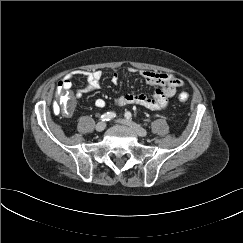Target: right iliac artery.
<instances>
[{"label":"right iliac artery","mask_w":243,"mask_h":243,"mask_svg":"<svg viewBox=\"0 0 243 243\" xmlns=\"http://www.w3.org/2000/svg\"><path fill=\"white\" fill-rule=\"evenodd\" d=\"M115 113L114 112H107V113H105V114H103L101 117H100V119L102 120V121H109V120H111V119H113L114 117H115Z\"/></svg>","instance_id":"obj_1"}]
</instances>
